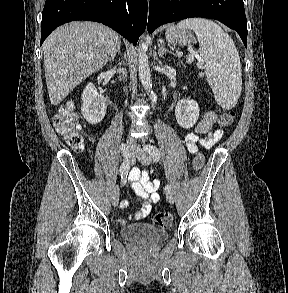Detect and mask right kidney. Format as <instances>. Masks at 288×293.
Returning a JSON list of instances; mask_svg holds the SVG:
<instances>
[{"label": "right kidney", "mask_w": 288, "mask_h": 293, "mask_svg": "<svg viewBox=\"0 0 288 293\" xmlns=\"http://www.w3.org/2000/svg\"><path fill=\"white\" fill-rule=\"evenodd\" d=\"M82 101L83 117L91 124L101 122L106 113V99L97 92L93 83H88L83 90Z\"/></svg>", "instance_id": "right-kidney-1"}]
</instances>
